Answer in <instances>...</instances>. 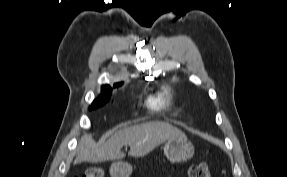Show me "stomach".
Here are the masks:
<instances>
[{
	"instance_id": "stomach-1",
	"label": "stomach",
	"mask_w": 287,
	"mask_h": 177,
	"mask_svg": "<svg viewBox=\"0 0 287 177\" xmlns=\"http://www.w3.org/2000/svg\"><path fill=\"white\" fill-rule=\"evenodd\" d=\"M164 153L172 163L186 162L194 155V146L187 138L170 139L165 143ZM132 166L125 162H114L110 167L111 177H129Z\"/></svg>"
}]
</instances>
